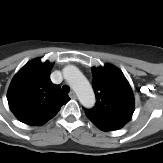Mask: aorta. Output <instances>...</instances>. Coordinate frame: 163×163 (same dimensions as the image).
I'll use <instances>...</instances> for the list:
<instances>
[{
	"mask_svg": "<svg viewBox=\"0 0 163 163\" xmlns=\"http://www.w3.org/2000/svg\"><path fill=\"white\" fill-rule=\"evenodd\" d=\"M63 75L76 92L80 103L86 108L93 107L95 104V94L89 81L79 69L75 66H66L63 69Z\"/></svg>",
	"mask_w": 163,
	"mask_h": 163,
	"instance_id": "762f6f07",
	"label": "aorta"
}]
</instances>
